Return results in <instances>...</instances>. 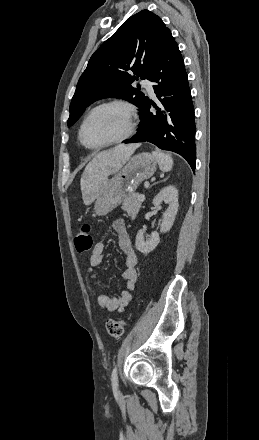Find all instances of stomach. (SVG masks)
Listing matches in <instances>:
<instances>
[{
	"label": "stomach",
	"mask_w": 259,
	"mask_h": 440,
	"mask_svg": "<svg viewBox=\"0 0 259 440\" xmlns=\"http://www.w3.org/2000/svg\"><path fill=\"white\" fill-rule=\"evenodd\" d=\"M157 160L150 153H140L131 157L126 165L108 180L106 187L95 202V213L104 216L110 213L129 195L133 194L140 183L150 178L156 171Z\"/></svg>",
	"instance_id": "obj_1"
}]
</instances>
